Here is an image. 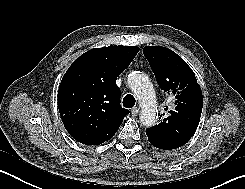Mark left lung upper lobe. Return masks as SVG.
Here are the masks:
<instances>
[{
  "instance_id": "5c2ea615",
  "label": "left lung upper lobe",
  "mask_w": 245,
  "mask_h": 189,
  "mask_svg": "<svg viewBox=\"0 0 245 189\" xmlns=\"http://www.w3.org/2000/svg\"><path fill=\"white\" fill-rule=\"evenodd\" d=\"M143 53L158 85L174 102L172 109L166 106L167 114L163 113L158 125L146 129L148 140L164 150L181 147L195 133L200 120L203 105L200 85L191 68L172 50L146 46Z\"/></svg>"
}]
</instances>
